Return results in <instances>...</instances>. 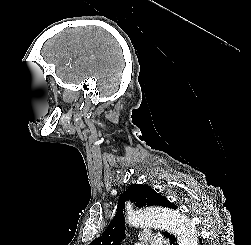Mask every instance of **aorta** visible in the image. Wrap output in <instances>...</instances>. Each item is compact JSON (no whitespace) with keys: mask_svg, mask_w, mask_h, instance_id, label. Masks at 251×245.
<instances>
[{"mask_svg":"<svg viewBox=\"0 0 251 245\" xmlns=\"http://www.w3.org/2000/svg\"><path fill=\"white\" fill-rule=\"evenodd\" d=\"M127 222L134 227L166 229L177 237L178 245H198L199 237L195 225L176 211L160 207L131 210Z\"/></svg>","mask_w":251,"mask_h":245,"instance_id":"762f6f07","label":"aorta"}]
</instances>
